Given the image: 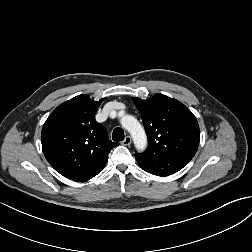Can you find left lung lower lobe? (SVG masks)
I'll return each instance as SVG.
<instances>
[{"instance_id": "left-lung-lower-lobe-1", "label": "left lung lower lobe", "mask_w": 252, "mask_h": 252, "mask_svg": "<svg viewBox=\"0 0 252 252\" xmlns=\"http://www.w3.org/2000/svg\"><path fill=\"white\" fill-rule=\"evenodd\" d=\"M136 160L144 171L157 176L174 174L190 161V159L175 156H162L156 158L136 156Z\"/></svg>"}]
</instances>
